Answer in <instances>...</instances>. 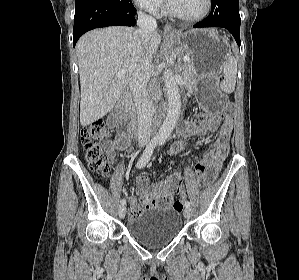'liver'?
<instances>
[{"label":"liver","mask_w":299,"mask_h":280,"mask_svg":"<svg viewBox=\"0 0 299 280\" xmlns=\"http://www.w3.org/2000/svg\"><path fill=\"white\" fill-rule=\"evenodd\" d=\"M161 36L154 31L147 51L154 55ZM81 85L80 123L90 125L109 113L143 58L138 30L108 27L84 34L76 45ZM120 70L126 73L117 75Z\"/></svg>","instance_id":"6515ba94"}]
</instances>
